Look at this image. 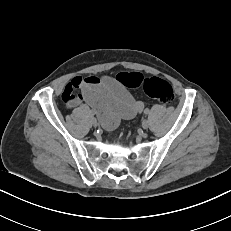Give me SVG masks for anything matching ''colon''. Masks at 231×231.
<instances>
[{
    "label": "colon",
    "mask_w": 231,
    "mask_h": 231,
    "mask_svg": "<svg viewBox=\"0 0 231 231\" xmlns=\"http://www.w3.org/2000/svg\"><path fill=\"white\" fill-rule=\"evenodd\" d=\"M116 81L125 88H142L148 97L163 104H170L175 98L170 83L157 77L146 78L138 72H121Z\"/></svg>",
    "instance_id": "obj_1"
}]
</instances>
